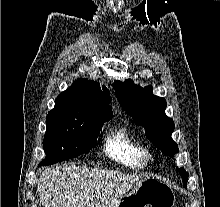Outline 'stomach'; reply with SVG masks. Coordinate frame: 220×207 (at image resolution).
I'll list each match as a JSON object with an SVG mask.
<instances>
[{
    "mask_svg": "<svg viewBox=\"0 0 220 207\" xmlns=\"http://www.w3.org/2000/svg\"><path fill=\"white\" fill-rule=\"evenodd\" d=\"M174 203L175 195L169 185L156 178L145 177L114 207H173Z\"/></svg>",
    "mask_w": 220,
    "mask_h": 207,
    "instance_id": "0dacf381",
    "label": "stomach"
}]
</instances>
